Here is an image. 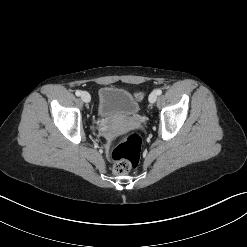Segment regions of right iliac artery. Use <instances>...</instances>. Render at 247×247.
I'll use <instances>...</instances> for the list:
<instances>
[{"instance_id":"obj_1","label":"right iliac artery","mask_w":247,"mask_h":247,"mask_svg":"<svg viewBox=\"0 0 247 247\" xmlns=\"http://www.w3.org/2000/svg\"><path fill=\"white\" fill-rule=\"evenodd\" d=\"M75 94H76V96H81V91L80 90H76Z\"/></svg>"}]
</instances>
